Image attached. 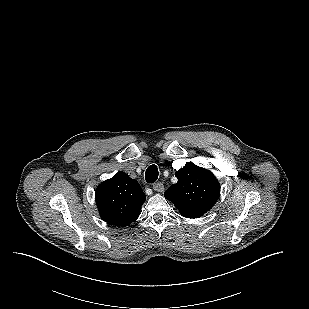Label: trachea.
<instances>
[{
    "label": "trachea",
    "instance_id": "trachea-1",
    "mask_svg": "<svg viewBox=\"0 0 309 309\" xmlns=\"http://www.w3.org/2000/svg\"><path fill=\"white\" fill-rule=\"evenodd\" d=\"M158 169L155 165H151L145 172V179L148 183H154L158 179Z\"/></svg>",
    "mask_w": 309,
    "mask_h": 309
}]
</instances>
